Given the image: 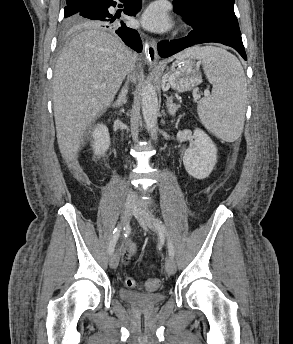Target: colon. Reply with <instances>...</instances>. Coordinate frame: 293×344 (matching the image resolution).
Masks as SVG:
<instances>
[{
    "label": "colon",
    "instance_id": "1",
    "mask_svg": "<svg viewBox=\"0 0 293 344\" xmlns=\"http://www.w3.org/2000/svg\"><path fill=\"white\" fill-rule=\"evenodd\" d=\"M126 284L128 286H132V285H134V280L132 278H127ZM158 286H159V282L156 279H150L146 282V287L149 290H155L158 288Z\"/></svg>",
    "mask_w": 293,
    "mask_h": 344
}]
</instances>
